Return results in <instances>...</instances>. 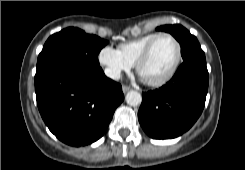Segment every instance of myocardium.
<instances>
[{"label":"myocardium","instance_id":"obj_1","mask_svg":"<svg viewBox=\"0 0 245 170\" xmlns=\"http://www.w3.org/2000/svg\"><path fill=\"white\" fill-rule=\"evenodd\" d=\"M162 37H169L174 41V43L177 47V55H176V58H175L173 65L171 66L169 71L163 77H161L158 80H154V81H148V80L144 79L148 85L153 86V87L162 86V85L166 84L168 81H170L172 79V77L175 75V73H176V71H177V69L181 63V59H182V47H181L179 40L171 33L162 32V33H159L156 37H154L146 45V47L143 49V51L137 57V60L135 62V68H136L137 73L142 77L141 66L148 59V57H149L154 45L156 44V42Z\"/></svg>","mask_w":245,"mask_h":170}]
</instances>
